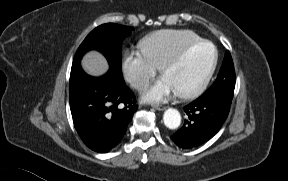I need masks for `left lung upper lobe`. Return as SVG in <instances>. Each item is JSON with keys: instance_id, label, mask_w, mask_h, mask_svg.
I'll use <instances>...</instances> for the list:
<instances>
[{"instance_id": "5c2ea615", "label": "left lung upper lobe", "mask_w": 288, "mask_h": 181, "mask_svg": "<svg viewBox=\"0 0 288 181\" xmlns=\"http://www.w3.org/2000/svg\"><path fill=\"white\" fill-rule=\"evenodd\" d=\"M235 81L236 77L233 61L229 51H226L217 79L200 98H218L228 104H231L235 88Z\"/></svg>"}]
</instances>
